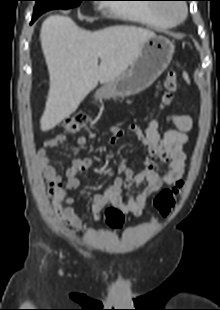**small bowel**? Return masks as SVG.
I'll list each match as a JSON object with an SVG mask.
<instances>
[{
  "mask_svg": "<svg viewBox=\"0 0 220 310\" xmlns=\"http://www.w3.org/2000/svg\"><path fill=\"white\" fill-rule=\"evenodd\" d=\"M166 121L173 124L177 129L168 130L163 135L159 133L161 120L150 121L145 130L137 125H131L130 131L144 144L146 157L144 168L135 172L126 159L118 161L119 176L114 183L103 193L94 194L90 198V211L95 219H98L101 210L108 205L118 208L122 213L139 217L147 199L151 194L174 185L180 181L184 175L186 167V154L184 145L188 141L187 132L192 128V118L185 114L173 113L166 117ZM124 134V130L114 125L110 128L108 138L109 145H114ZM66 140L63 134H58L46 140L38 150L37 158L45 173L52 181L62 183V187L54 194V211L60 221L75 229L82 228V221L76 214L73 204L74 199L69 196V192L76 190L80 186L79 173L89 169L93 164L92 158H75L65 176L57 174L49 153L52 149L62 145ZM77 144L85 147L87 138L80 136ZM156 160H161L167 172L163 175L153 169ZM142 186L136 193L131 194L125 200L122 189Z\"/></svg>",
  "mask_w": 220,
  "mask_h": 310,
  "instance_id": "c3829d8e",
  "label": "small bowel"
}]
</instances>
